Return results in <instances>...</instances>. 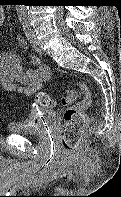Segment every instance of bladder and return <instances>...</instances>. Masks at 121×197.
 <instances>
[{
    "label": "bladder",
    "instance_id": "31cf9c89",
    "mask_svg": "<svg viewBox=\"0 0 121 197\" xmlns=\"http://www.w3.org/2000/svg\"><path fill=\"white\" fill-rule=\"evenodd\" d=\"M55 119L53 110L40 109L23 120L9 123L7 129L15 134H43L54 125Z\"/></svg>",
    "mask_w": 121,
    "mask_h": 197
}]
</instances>
